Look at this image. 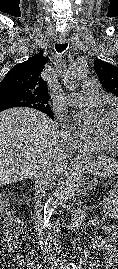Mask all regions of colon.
Segmentation results:
<instances>
[{
  "instance_id": "obj_1",
  "label": "colon",
  "mask_w": 118,
  "mask_h": 269,
  "mask_svg": "<svg viewBox=\"0 0 118 269\" xmlns=\"http://www.w3.org/2000/svg\"><path fill=\"white\" fill-rule=\"evenodd\" d=\"M0 221L5 223L4 237L1 241L4 245L11 244L18 236L20 225L12 213V208L5 195L0 193Z\"/></svg>"
}]
</instances>
